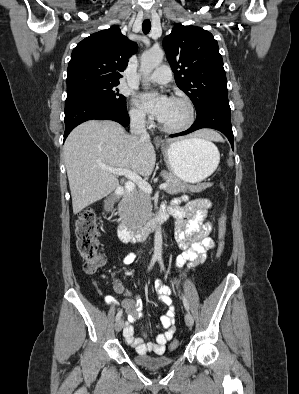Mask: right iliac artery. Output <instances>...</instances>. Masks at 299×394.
Instances as JSON below:
<instances>
[{"label": "right iliac artery", "mask_w": 299, "mask_h": 394, "mask_svg": "<svg viewBox=\"0 0 299 394\" xmlns=\"http://www.w3.org/2000/svg\"><path fill=\"white\" fill-rule=\"evenodd\" d=\"M156 260H157L156 257H153V258L151 259V262H150L149 267H148V271L153 267V265L155 264ZM121 315H122V311H119V312L117 313V315H116V318H115L116 321H117L118 319H120Z\"/></svg>", "instance_id": "1"}]
</instances>
